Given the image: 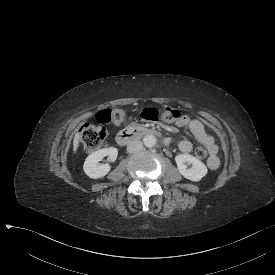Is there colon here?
Wrapping results in <instances>:
<instances>
[{"instance_id":"obj_1","label":"colon","mask_w":275,"mask_h":275,"mask_svg":"<svg viewBox=\"0 0 275 275\" xmlns=\"http://www.w3.org/2000/svg\"><path fill=\"white\" fill-rule=\"evenodd\" d=\"M183 112L178 109L165 107L158 109L148 107L142 110L141 116L147 121H162L163 123H171L183 116ZM125 119L124 112L119 109L100 110L93 123L83 124L78 131L82 146L87 152H97L103 146L107 138L106 126L111 124H121ZM195 155L199 159H204L207 156V151L204 147H197Z\"/></svg>"}]
</instances>
